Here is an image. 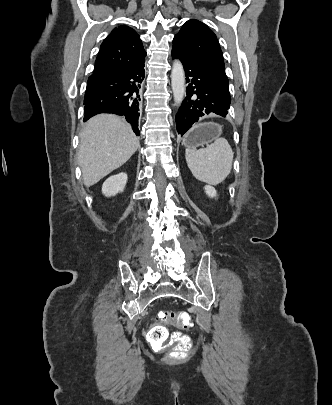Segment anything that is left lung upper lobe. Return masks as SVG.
<instances>
[{"instance_id": "obj_1", "label": "left lung upper lobe", "mask_w": 332, "mask_h": 405, "mask_svg": "<svg viewBox=\"0 0 332 405\" xmlns=\"http://www.w3.org/2000/svg\"><path fill=\"white\" fill-rule=\"evenodd\" d=\"M182 56L206 69L222 86L230 104L229 81L216 35L204 23L187 21L173 39V47Z\"/></svg>"}]
</instances>
